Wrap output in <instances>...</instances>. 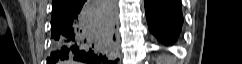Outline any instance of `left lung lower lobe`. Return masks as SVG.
<instances>
[{
  "label": "left lung lower lobe",
  "mask_w": 242,
  "mask_h": 64,
  "mask_svg": "<svg viewBox=\"0 0 242 64\" xmlns=\"http://www.w3.org/2000/svg\"><path fill=\"white\" fill-rule=\"evenodd\" d=\"M150 32L157 40L169 46L182 33L183 16L180 0H144Z\"/></svg>",
  "instance_id": "left-lung-lower-lobe-1"
}]
</instances>
